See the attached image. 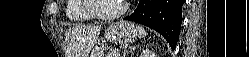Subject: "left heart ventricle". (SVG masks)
I'll list each match as a JSON object with an SVG mask.
<instances>
[{
	"label": "left heart ventricle",
	"instance_id": "b2bd125f",
	"mask_svg": "<svg viewBox=\"0 0 249 57\" xmlns=\"http://www.w3.org/2000/svg\"><path fill=\"white\" fill-rule=\"evenodd\" d=\"M122 0H97L96 9L102 14H111L119 11L123 5Z\"/></svg>",
	"mask_w": 249,
	"mask_h": 57
}]
</instances>
